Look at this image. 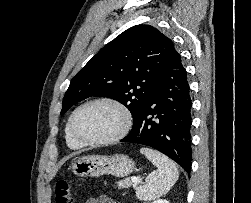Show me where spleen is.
Returning <instances> with one entry per match:
<instances>
[{"instance_id": "spleen-1", "label": "spleen", "mask_w": 251, "mask_h": 203, "mask_svg": "<svg viewBox=\"0 0 251 203\" xmlns=\"http://www.w3.org/2000/svg\"><path fill=\"white\" fill-rule=\"evenodd\" d=\"M140 152L157 167L136 190L137 198L148 202L166 194L177 181L179 172L175 163L164 154L148 147H142Z\"/></svg>"}]
</instances>
